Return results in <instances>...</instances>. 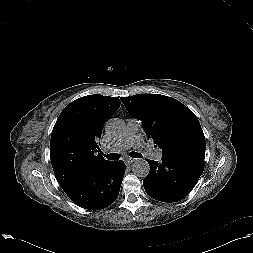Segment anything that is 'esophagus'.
Segmentation results:
<instances>
[{"instance_id": "esophagus-1", "label": "esophagus", "mask_w": 253, "mask_h": 253, "mask_svg": "<svg viewBox=\"0 0 253 253\" xmlns=\"http://www.w3.org/2000/svg\"><path fill=\"white\" fill-rule=\"evenodd\" d=\"M134 161H135V159H133V158H127V159L125 160V163H126L127 165H130V164H132Z\"/></svg>"}]
</instances>
